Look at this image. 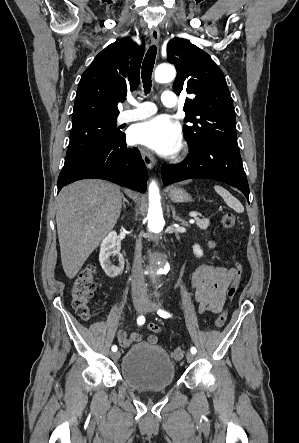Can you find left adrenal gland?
Wrapping results in <instances>:
<instances>
[{
  "label": "left adrenal gland",
  "mask_w": 299,
  "mask_h": 443,
  "mask_svg": "<svg viewBox=\"0 0 299 443\" xmlns=\"http://www.w3.org/2000/svg\"><path fill=\"white\" fill-rule=\"evenodd\" d=\"M172 213H173V219L175 221L184 222V220H182L179 216L176 215V212L173 207H172Z\"/></svg>",
  "instance_id": "a2214340"
}]
</instances>
